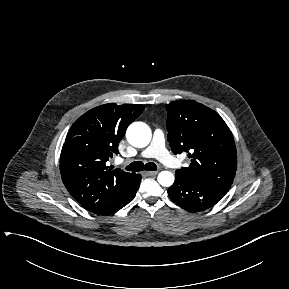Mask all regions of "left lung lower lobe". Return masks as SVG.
Returning <instances> with one entry per match:
<instances>
[{
    "mask_svg": "<svg viewBox=\"0 0 289 289\" xmlns=\"http://www.w3.org/2000/svg\"><path fill=\"white\" fill-rule=\"evenodd\" d=\"M226 193L225 190L215 188L182 173H176L175 182L168 189L170 198L189 212H199L212 207Z\"/></svg>",
    "mask_w": 289,
    "mask_h": 289,
    "instance_id": "obj_1",
    "label": "left lung lower lobe"
}]
</instances>
